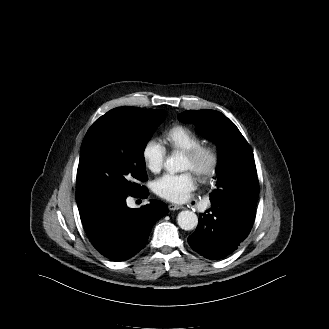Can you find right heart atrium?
Returning <instances> with one entry per match:
<instances>
[{
	"instance_id": "d8ad5b80",
	"label": "right heart atrium",
	"mask_w": 329,
	"mask_h": 329,
	"mask_svg": "<svg viewBox=\"0 0 329 329\" xmlns=\"http://www.w3.org/2000/svg\"><path fill=\"white\" fill-rule=\"evenodd\" d=\"M141 157L146 168L151 172L157 173L164 166L167 151L158 139L149 138L142 147Z\"/></svg>"
}]
</instances>
